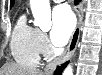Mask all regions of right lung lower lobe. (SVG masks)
<instances>
[{
	"mask_svg": "<svg viewBox=\"0 0 102 75\" xmlns=\"http://www.w3.org/2000/svg\"><path fill=\"white\" fill-rule=\"evenodd\" d=\"M78 2H79L78 0H75V3H76V4H77ZM67 64H68V62L64 63L62 66H59V67L55 70L54 74H55V75H61L62 71H63L64 68L67 66Z\"/></svg>",
	"mask_w": 102,
	"mask_h": 75,
	"instance_id": "right-lung-lower-lobe-1",
	"label": "right lung lower lobe"
}]
</instances>
